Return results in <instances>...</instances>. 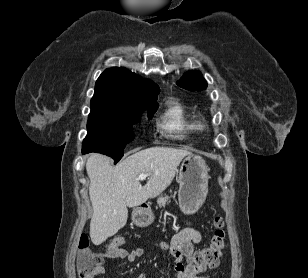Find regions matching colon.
Instances as JSON below:
<instances>
[{"label": "colon", "instance_id": "colon-1", "mask_svg": "<svg viewBox=\"0 0 308 278\" xmlns=\"http://www.w3.org/2000/svg\"><path fill=\"white\" fill-rule=\"evenodd\" d=\"M214 226L215 232L210 244L189 256L191 265L196 266L201 271L215 268L219 264L225 248L223 220L220 217H216ZM123 243L124 239L122 237H115L109 243H105L104 248L105 250H119ZM78 248L77 270L80 278H96L99 276L103 267V258L100 253L91 250L86 235L80 237Z\"/></svg>", "mask_w": 308, "mask_h": 278}]
</instances>
